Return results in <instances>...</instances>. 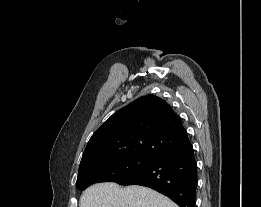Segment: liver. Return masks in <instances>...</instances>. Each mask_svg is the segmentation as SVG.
I'll return each instance as SVG.
<instances>
[{
    "label": "liver",
    "mask_w": 261,
    "mask_h": 207,
    "mask_svg": "<svg viewBox=\"0 0 261 207\" xmlns=\"http://www.w3.org/2000/svg\"><path fill=\"white\" fill-rule=\"evenodd\" d=\"M80 207H179L168 197L143 186L120 187L103 182L88 187L81 195Z\"/></svg>",
    "instance_id": "liver-1"
}]
</instances>
